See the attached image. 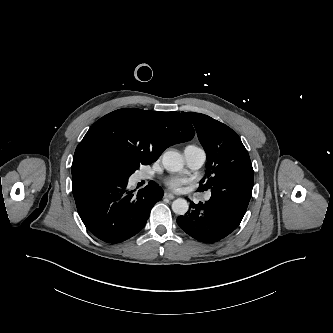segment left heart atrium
<instances>
[{"mask_svg": "<svg viewBox=\"0 0 333 333\" xmlns=\"http://www.w3.org/2000/svg\"><path fill=\"white\" fill-rule=\"evenodd\" d=\"M187 182L184 178L171 177L166 180V185L173 191H180L182 186Z\"/></svg>", "mask_w": 333, "mask_h": 333, "instance_id": "1", "label": "left heart atrium"}]
</instances>
